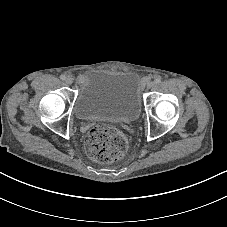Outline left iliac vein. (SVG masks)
Instances as JSON below:
<instances>
[{"label":"left iliac vein","instance_id":"4c4485c4","mask_svg":"<svg viewBox=\"0 0 227 227\" xmlns=\"http://www.w3.org/2000/svg\"><path fill=\"white\" fill-rule=\"evenodd\" d=\"M155 86V82H149L147 87L148 88H153Z\"/></svg>","mask_w":227,"mask_h":227}]
</instances>
